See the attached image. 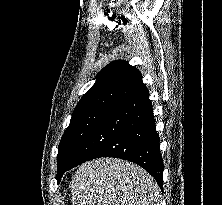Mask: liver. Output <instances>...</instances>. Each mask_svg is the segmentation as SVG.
I'll return each mask as SVG.
<instances>
[{
    "label": "liver",
    "instance_id": "liver-1",
    "mask_svg": "<svg viewBox=\"0 0 222 205\" xmlns=\"http://www.w3.org/2000/svg\"><path fill=\"white\" fill-rule=\"evenodd\" d=\"M72 205H160V190L140 166L114 158L82 164L72 178Z\"/></svg>",
    "mask_w": 222,
    "mask_h": 205
}]
</instances>
